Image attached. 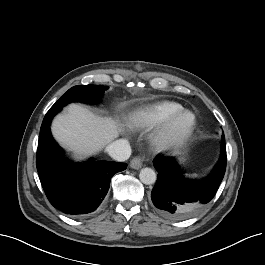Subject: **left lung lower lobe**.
Masks as SVG:
<instances>
[{
	"label": "left lung lower lobe",
	"mask_w": 265,
	"mask_h": 265,
	"mask_svg": "<svg viewBox=\"0 0 265 265\" xmlns=\"http://www.w3.org/2000/svg\"><path fill=\"white\" fill-rule=\"evenodd\" d=\"M221 147L220 159L211 174L203 180L185 178L173 157H160L154 161L158 179L151 199L162 216L171 220L187 219L200 213L210 203L226 170L224 135Z\"/></svg>",
	"instance_id": "obj_1"
}]
</instances>
